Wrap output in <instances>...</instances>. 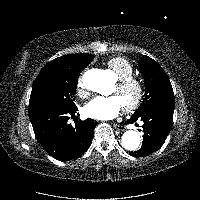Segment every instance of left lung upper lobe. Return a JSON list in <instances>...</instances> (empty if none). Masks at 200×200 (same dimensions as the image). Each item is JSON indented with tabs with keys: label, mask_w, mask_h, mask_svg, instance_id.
<instances>
[{
	"label": "left lung upper lobe",
	"mask_w": 200,
	"mask_h": 200,
	"mask_svg": "<svg viewBox=\"0 0 200 200\" xmlns=\"http://www.w3.org/2000/svg\"><path fill=\"white\" fill-rule=\"evenodd\" d=\"M139 68L145 80V98L134 115L150 107L174 110L173 89L161 66L152 58L144 55L139 60Z\"/></svg>",
	"instance_id": "1"
}]
</instances>
